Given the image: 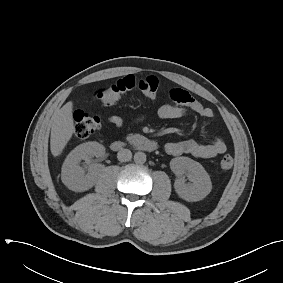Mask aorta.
Listing matches in <instances>:
<instances>
[{
  "label": "aorta",
  "instance_id": "aorta-1",
  "mask_svg": "<svg viewBox=\"0 0 283 283\" xmlns=\"http://www.w3.org/2000/svg\"><path fill=\"white\" fill-rule=\"evenodd\" d=\"M134 161L137 164H144L146 162V154L144 152H136L134 155Z\"/></svg>",
  "mask_w": 283,
  "mask_h": 283
}]
</instances>
